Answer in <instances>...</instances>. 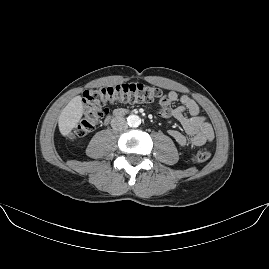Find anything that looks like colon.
Wrapping results in <instances>:
<instances>
[{
  "label": "colon",
  "instance_id": "5ec220e1",
  "mask_svg": "<svg viewBox=\"0 0 269 269\" xmlns=\"http://www.w3.org/2000/svg\"><path fill=\"white\" fill-rule=\"evenodd\" d=\"M162 96L160 88L137 82L121 83L108 87H88L83 92L82 119L70 134L71 139L87 135L103 119L112 105L124 103H151ZM212 155L209 148L192 157L193 162L207 161Z\"/></svg>",
  "mask_w": 269,
  "mask_h": 269
}]
</instances>
